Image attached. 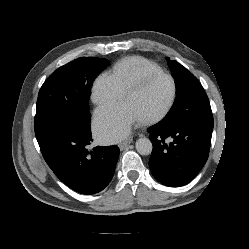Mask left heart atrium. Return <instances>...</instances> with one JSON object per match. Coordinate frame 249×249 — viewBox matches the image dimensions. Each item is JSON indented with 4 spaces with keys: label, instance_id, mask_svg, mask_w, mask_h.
Returning a JSON list of instances; mask_svg holds the SVG:
<instances>
[{
    "label": "left heart atrium",
    "instance_id": "left-heart-atrium-1",
    "mask_svg": "<svg viewBox=\"0 0 249 249\" xmlns=\"http://www.w3.org/2000/svg\"><path fill=\"white\" fill-rule=\"evenodd\" d=\"M141 118L126 102L100 108L95 113L94 130L104 142H116L125 138Z\"/></svg>",
    "mask_w": 249,
    "mask_h": 249
}]
</instances>
